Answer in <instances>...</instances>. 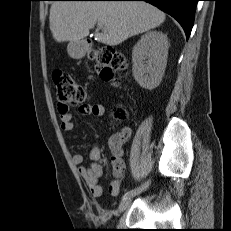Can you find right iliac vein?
Here are the masks:
<instances>
[{
    "mask_svg": "<svg viewBox=\"0 0 231 231\" xmlns=\"http://www.w3.org/2000/svg\"><path fill=\"white\" fill-rule=\"evenodd\" d=\"M149 184H150V181L145 182L143 185L137 188L136 192L133 195L122 199L121 203L118 206V212L121 213L124 210H126L128 206L130 205L133 197L145 191L148 188Z\"/></svg>",
    "mask_w": 231,
    "mask_h": 231,
    "instance_id": "obj_1",
    "label": "right iliac vein"
}]
</instances>
